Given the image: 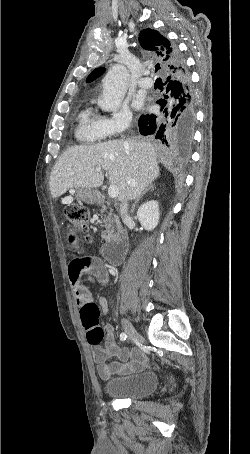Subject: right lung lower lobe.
<instances>
[{"label":"right lung lower lobe","mask_w":250,"mask_h":454,"mask_svg":"<svg viewBox=\"0 0 250 454\" xmlns=\"http://www.w3.org/2000/svg\"><path fill=\"white\" fill-rule=\"evenodd\" d=\"M174 69L164 76L166 91L157 101L160 110L142 115L138 126L141 135L154 137L170 148L189 146L195 125L194 95L184 58L170 42Z\"/></svg>","instance_id":"98d812e1"}]
</instances>
